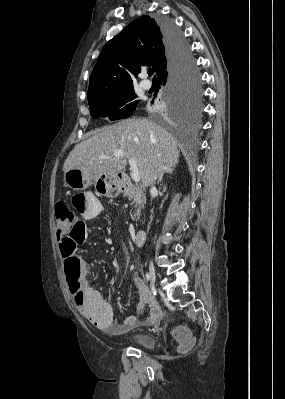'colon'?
Wrapping results in <instances>:
<instances>
[{"label":"colon","instance_id":"5ec220e1","mask_svg":"<svg viewBox=\"0 0 285 399\" xmlns=\"http://www.w3.org/2000/svg\"><path fill=\"white\" fill-rule=\"evenodd\" d=\"M88 194H76L71 199V204L62 203L56 210V226L61 232L60 248L62 259L65 263L66 278L69 289L76 293L79 287L78 276L70 270L69 265L75 258L76 248L87 238V232L83 225L76 221V217L71 210H82L87 203ZM83 295L79 293V301H82ZM180 351L188 350L193 343L192 337L186 332L176 334Z\"/></svg>","mask_w":285,"mask_h":399}]
</instances>
